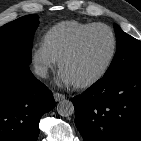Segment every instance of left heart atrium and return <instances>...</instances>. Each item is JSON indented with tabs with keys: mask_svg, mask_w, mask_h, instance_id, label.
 <instances>
[{
	"mask_svg": "<svg viewBox=\"0 0 141 141\" xmlns=\"http://www.w3.org/2000/svg\"><path fill=\"white\" fill-rule=\"evenodd\" d=\"M57 83L60 84V85H71V84H73L70 77L63 70H61L59 75H58Z\"/></svg>",
	"mask_w": 141,
	"mask_h": 141,
	"instance_id": "1",
	"label": "left heart atrium"
}]
</instances>
